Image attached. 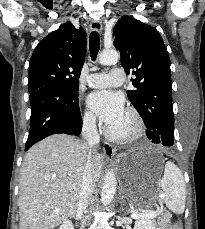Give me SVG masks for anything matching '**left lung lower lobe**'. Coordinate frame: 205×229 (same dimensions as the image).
Here are the masks:
<instances>
[{
  "mask_svg": "<svg viewBox=\"0 0 205 229\" xmlns=\"http://www.w3.org/2000/svg\"><path fill=\"white\" fill-rule=\"evenodd\" d=\"M156 130H152L151 133L152 134H148V138L152 139L151 142L153 143H160L163 138L166 137V135L164 134V130L162 128H155Z\"/></svg>",
  "mask_w": 205,
  "mask_h": 229,
  "instance_id": "obj_1",
  "label": "left lung lower lobe"
}]
</instances>
